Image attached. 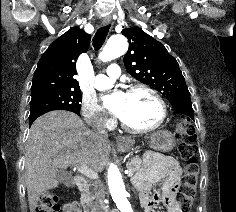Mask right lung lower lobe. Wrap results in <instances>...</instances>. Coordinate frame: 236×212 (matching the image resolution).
<instances>
[{"mask_svg": "<svg viewBox=\"0 0 236 212\" xmlns=\"http://www.w3.org/2000/svg\"><path fill=\"white\" fill-rule=\"evenodd\" d=\"M44 113H46V112H40V113H37V114H34V115H30L29 116V123H30V125L34 122V120L36 119V118H38L40 115H42V114H44ZM77 114V113H76ZM78 115H80V114H78Z\"/></svg>", "mask_w": 236, "mask_h": 212, "instance_id": "1", "label": "right lung lower lobe"}]
</instances>
